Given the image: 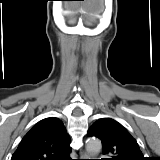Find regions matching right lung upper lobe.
Wrapping results in <instances>:
<instances>
[{"instance_id":"right-lung-upper-lobe-1","label":"right lung upper lobe","mask_w":160,"mask_h":160,"mask_svg":"<svg viewBox=\"0 0 160 160\" xmlns=\"http://www.w3.org/2000/svg\"><path fill=\"white\" fill-rule=\"evenodd\" d=\"M70 138L58 118L39 121L23 137L11 160H71Z\"/></svg>"}]
</instances>
